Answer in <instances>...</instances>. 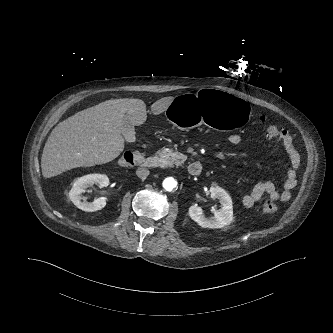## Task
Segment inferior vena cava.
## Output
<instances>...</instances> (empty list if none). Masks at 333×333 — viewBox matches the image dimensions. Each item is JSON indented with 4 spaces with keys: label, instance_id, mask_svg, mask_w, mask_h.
Here are the masks:
<instances>
[{
    "label": "inferior vena cava",
    "instance_id": "obj_1",
    "mask_svg": "<svg viewBox=\"0 0 333 333\" xmlns=\"http://www.w3.org/2000/svg\"><path fill=\"white\" fill-rule=\"evenodd\" d=\"M136 175L139 178L144 179L149 175V170L147 168H138L137 171H136Z\"/></svg>",
    "mask_w": 333,
    "mask_h": 333
}]
</instances>
